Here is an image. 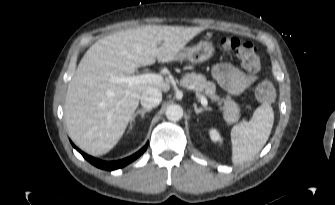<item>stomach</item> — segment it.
I'll use <instances>...</instances> for the list:
<instances>
[{"label": "stomach", "mask_w": 335, "mask_h": 205, "mask_svg": "<svg viewBox=\"0 0 335 205\" xmlns=\"http://www.w3.org/2000/svg\"><path fill=\"white\" fill-rule=\"evenodd\" d=\"M214 52L215 48L211 42L201 41L192 47L184 48L180 58L192 63H202L210 59Z\"/></svg>", "instance_id": "1"}]
</instances>
